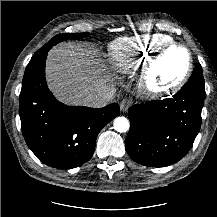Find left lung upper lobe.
I'll return each mask as SVG.
<instances>
[{"label": "left lung upper lobe", "mask_w": 217, "mask_h": 217, "mask_svg": "<svg viewBox=\"0 0 217 217\" xmlns=\"http://www.w3.org/2000/svg\"><path fill=\"white\" fill-rule=\"evenodd\" d=\"M189 81L195 82L198 86L204 89V78L202 73V67L199 63L196 64Z\"/></svg>", "instance_id": "obj_1"}]
</instances>
